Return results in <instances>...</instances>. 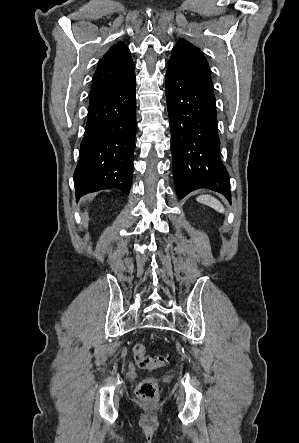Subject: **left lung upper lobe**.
I'll list each match as a JSON object with an SVG mask.
<instances>
[{
	"label": "left lung upper lobe",
	"instance_id": "obj_1",
	"mask_svg": "<svg viewBox=\"0 0 299 443\" xmlns=\"http://www.w3.org/2000/svg\"><path fill=\"white\" fill-rule=\"evenodd\" d=\"M192 79L213 90L210 67L202 52L184 39L174 46L171 59L168 61Z\"/></svg>",
	"mask_w": 299,
	"mask_h": 443
}]
</instances>
